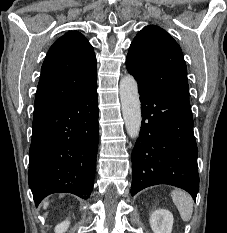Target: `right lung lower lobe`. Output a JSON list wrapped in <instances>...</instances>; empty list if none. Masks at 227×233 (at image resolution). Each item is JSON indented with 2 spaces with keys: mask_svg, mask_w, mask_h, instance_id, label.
I'll return each mask as SVG.
<instances>
[{
  "mask_svg": "<svg viewBox=\"0 0 227 233\" xmlns=\"http://www.w3.org/2000/svg\"><path fill=\"white\" fill-rule=\"evenodd\" d=\"M98 139L97 83L34 117L28 179L36 206L52 193L89 197Z\"/></svg>",
  "mask_w": 227,
  "mask_h": 233,
  "instance_id": "obj_1",
  "label": "right lung lower lobe"
}]
</instances>
